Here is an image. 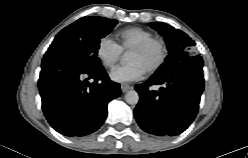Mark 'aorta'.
I'll return each instance as SVG.
<instances>
[{
  "instance_id": "1",
  "label": "aorta",
  "mask_w": 248,
  "mask_h": 158,
  "mask_svg": "<svg viewBox=\"0 0 248 158\" xmlns=\"http://www.w3.org/2000/svg\"><path fill=\"white\" fill-rule=\"evenodd\" d=\"M125 101L130 105H136L139 101V95L135 90H130L125 95Z\"/></svg>"
}]
</instances>
